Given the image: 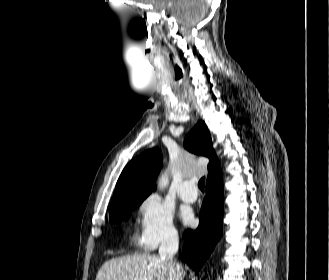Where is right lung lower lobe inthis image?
Here are the masks:
<instances>
[{"instance_id":"obj_1","label":"right lung lower lobe","mask_w":329,"mask_h":280,"mask_svg":"<svg viewBox=\"0 0 329 280\" xmlns=\"http://www.w3.org/2000/svg\"><path fill=\"white\" fill-rule=\"evenodd\" d=\"M223 182L221 170L206 183V196L200 212L198 228L184 233L181 259L196 273L213 251L222 232Z\"/></svg>"}]
</instances>
